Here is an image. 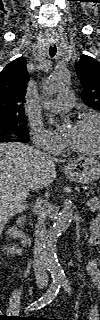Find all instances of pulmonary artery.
Segmentation results:
<instances>
[{"label":"pulmonary artery","mask_w":100,"mask_h":320,"mask_svg":"<svg viewBox=\"0 0 100 320\" xmlns=\"http://www.w3.org/2000/svg\"><path fill=\"white\" fill-rule=\"evenodd\" d=\"M74 103L72 92L69 89H64L59 92V96L55 100H50L44 103V108L47 110L62 112L68 110Z\"/></svg>","instance_id":"e3ab8cb5"}]
</instances>
